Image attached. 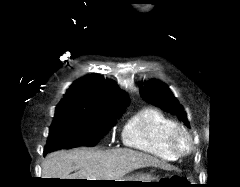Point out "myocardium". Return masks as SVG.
I'll use <instances>...</instances> for the list:
<instances>
[{
	"instance_id": "myocardium-1",
	"label": "myocardium",
	"mask_w": 240,
	"mask_h": 187,
	"mask_svg": "<svg viewBox=\"0 0 240 187\" xmlns=\"http://www.w3.org/2000/svg\"><path fill=\"white\" fill-rule=\"evenodd\" d=\"M170 146L178 156H184L193 149L190 134L183 128L177 127L170 134Z\"/></svg>"
}]
</instances>
